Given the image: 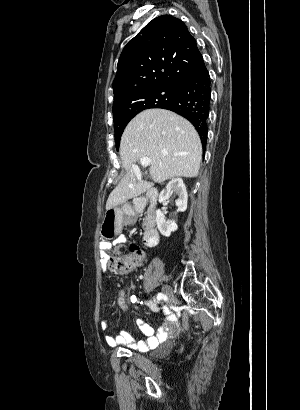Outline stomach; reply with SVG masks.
I'll use <instances>...</instances> for the list:
<instances>
[{"label": "stomach", "mask_w": 300, "mask_h": 410, "mask_svg": "<svg viewBox=\"0 0 300 410\" xmlns=\"http://www.w3.org/2000/svg\"><path fill=\"white\" fill-rule=\"evenodd\" d=\"M128 219H134L133 208L128 203L106 210L100 229L101 236L104 239L116 237Z\"/></svg>", "instance_id": "obj_1"}]
</instances>
